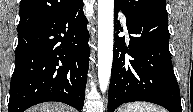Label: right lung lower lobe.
Instances as JSON below:
<instances>
[{"label": "right lung lower lobe", "mask_w": 193, "mask_h": 112, "mask_svg": "<svg viewBox=\"0 0 193 112\" xmlns=\"http://www.w3.org/2000/svg\"><path fill=\"white\" fill-rule=\"evenodd\" d=\"M83 5L18 32L8 112L46 101L83 108L90 54Z\"/></svg>", "instance_id": "1"}]
</instances>
